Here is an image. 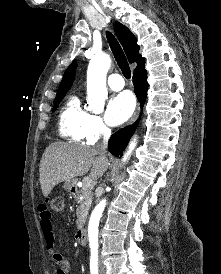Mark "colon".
I'll return each mask as SVG.
<instances>
[{
  "label": "colon",
  "mask_w": 221,
  "mask_h": 274,
  "mask_svg": "<svg viewBox=\"0 0 221 274\" xmlns=\"http://www.w3.org/2000/svg\"><path fill=\"white\" fill-rule=\"evenodd\" d=\"M50 208L56 212L61 213L65 209V199L61 196H54L48 200Z\"/></svg>",
  "instance_id": "1"
}]
</instances>
